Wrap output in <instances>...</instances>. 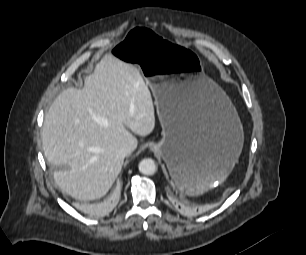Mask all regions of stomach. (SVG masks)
Here are the masks:
<instances>
[{"label":"stomach","instance_id":"0dacf381","mask_svg":"<svg viewBox=\"0 0 306 255\" xmlns=\"http://www.w3.org/2000/svg\"><path fill=\"white\" fill-rule=\"evenodd\" d=\"M112 54L136 64L153 93L162 139L151 149L165 161L178 189L195 195L222 183L241 154L243 128L226 93L203 72L199 56L141 25L128 27Z\"/></svg>","mask_w":306,"mask_h":255}]
</instances>
